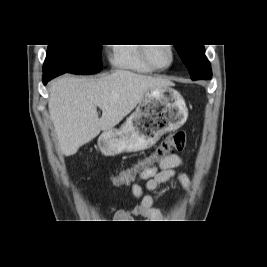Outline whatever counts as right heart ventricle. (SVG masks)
<instances>
[{"label":"right heart ventricle","mask_w":267,"mask_h":267,"mask_svg":"<svg viewBox=\"0 0 267 267\" xmlns=\"http://www.w3.org/2000/svg\"><path fill=\"white\" fill-rule=\"evenodd\" d=\"M143 44H114L110 53V63L116 69L132 70L139 73L155 71L144 59Z\"/></svg>","instance_id":"1"}]
</instances>
